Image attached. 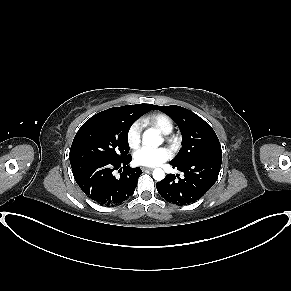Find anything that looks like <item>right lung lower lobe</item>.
Wrapping results in <instances>:
<instances>
[{"label":"right lung lower lobe","mask_w":291,"mask_h":291,"mask_svg":"<svg viewBox=\"0 0 291 291\" xmlns=\"http://www.w3.org/2000/svg\"><path fill=\"white\" fill-rule=\"evenodd\" d=\"M132 157L117 161L90 160L71 165L75 181L81 190L100 205L115 206L127 200L135 190L137 180L142 174L139 167L130 168ZM120 167L123 168L119 169ZM120 178L112 172L118 170Z\"/></svg>","instance_id":"right-lung-lower-lobe-1"}]
</instances>
